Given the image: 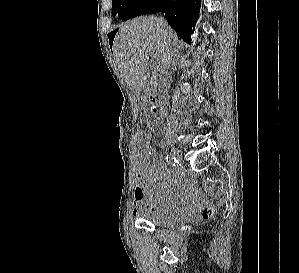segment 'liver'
<instances>
[{
  "instance_id": "obj_1",
  "label": "liver",
  "mask_w": 299,
  "mask_h": 273,
  "mask_svg": "<svg viewBox=\"0 0 299 273\" xmlns=\"http://www.w3.org/2000/svg\"><path fill=\"white\" fill-rule=\"evenodd\" d=\"M179 43L174 31L154 16L139 17L119 27L113 55L120 73L136 95L142 90L150 53L158 59L161 69L169 67L173 49Z\"/></svg>"
}]
</instances>
